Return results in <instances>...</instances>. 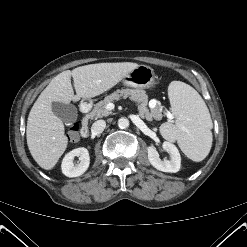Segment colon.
Masks as SVG:
<instances>
[{"instance_id":"1","label":"colon","mask_w":247,"mask_h":247,"mask_svg":"<svg viewBox=\"0 0 247 247\" xmlns=\"http://www.w3.org/2000/svg\"><path fill=\"white\" fill-rule=\"evenodd\" d=\"M80 137L79 125L78 123L71 126L67 132V138L70 142H77Z\"/></svg>"}]
</instances>
